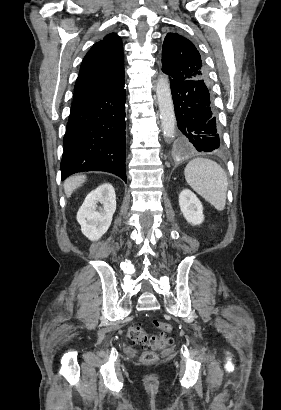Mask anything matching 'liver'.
I'll use <instances>...</instances> for the list:
<instances>
[{
    "mask_svg": "<svg viewBox=\"0 0 281 410\" xmlns=\"http://www.w3.org/2000/svg\"><path fill=\"white\" fill-rule=\"evenodd\" d=\"M86 180V176H72L64 182V191L67 197H70L72 192L80 187Z\"/></svg>",
    "mask_w": 281,
    "mask_h": 410,
    "instance_id": "obj_1",
    "label": "liver"
}]
</instances>
